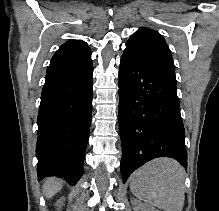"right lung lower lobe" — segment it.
I'll use <instances>...</instances> for the list:
<instances>
[{
	"label": "right lung lower lobe",
	"instance_id": "right-lung-lower-lobe-1",
	"mask_svg": "<svg viewBox=\"0 0 219 211\" xmlns=\"http://www.w3.org/2000/svg\"><path fill=\"white\" fill-rule=\"evenodd\" d=\"M91 58L51 62L47 68L38 114V177L57 176L76 183L92 117Z\"/></svg>",
	"mask_w": 219,
	"mask_h": 211
}]
</instances>
